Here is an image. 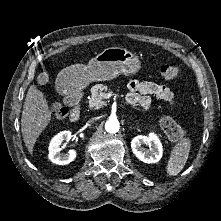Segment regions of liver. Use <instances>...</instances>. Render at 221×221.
Listing matches in <instances>:
<instances>
[{
  "label": "liver",
  "mask_w": 221,
  "mask_h": 221,
  "mask_svg": "<svg viewBox=\"0 0 221 221\" xmlns=\"http://www.w3.org/2000/svg\"><path fill=\"white\" fill-rule=\"evenodd\" d=\"M52 114L44 94L31 85L28 89L21 118V132L29 153L33 152L37 138L51 122Z\"/></svg>",
  "instance_id": "1"
}]
</instances>
